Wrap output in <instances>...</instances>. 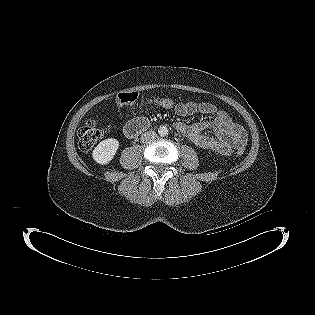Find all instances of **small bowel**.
<instances>
[{"label": "small bowel", "instance_id": "1", "mask_svg": "<svg viewBox=\"0 0 315 315\" xmlns=\"http://www.w3.org/2000/svg\"><path fill=\"white\" fill-rule=\"evenodd\" d=\"M179 116H192L196 113L214 115V121H203L188 125L184 122H175V129L188 142L199 149L210 150L221 155H229L234 149L244 147L247 142V133L226 111L218 109L209 102H177L172 108ZM210 130L212 134L204 133Z\"/></svg>", "mask_w": 315, "mask_h": 315}]
</instances>
